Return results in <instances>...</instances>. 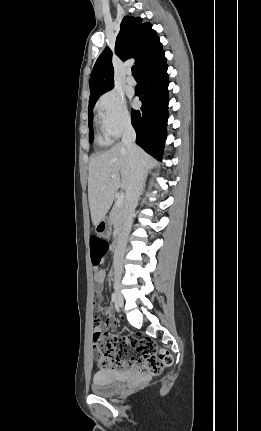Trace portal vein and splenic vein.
<instances>
[{"mask_svg":"<svg viewBox=\"0 0 261 431\" xmlns=\"http://www.w3.org/2000/svg\"><path fill=\"white\" fill-rule=\"evenodd\" d=\"M123 200H124V193H121L120 195H119V197H118V199H117V201H116V205L117 206H122V204H123Z\"/></svg>","mask_w":261,"mask_h":431,"instance_id":"18ae733b","label":"portal vein and splenic vein"}]
</instances>
